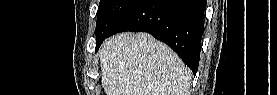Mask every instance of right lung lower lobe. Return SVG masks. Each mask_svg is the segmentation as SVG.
<instances>
[{"mask_svg":"<svg viewBox=\"0 0 277 95\" xmlns=\"http://www.w3.org/2000/svg\"><path fill=\"white\" fill-rule=\"evenodd\" d=\"M205 7L206 0H144L107 37L123 31L148 32L169 45L195 75Z\"/></svg>","mask_w":277,"mask_h":95,"instance_id":"obj_1","label":"right lung lower lobe"}]
</instances>
